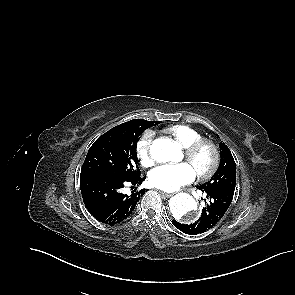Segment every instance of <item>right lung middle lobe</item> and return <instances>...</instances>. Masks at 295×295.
I'll use <instances>...</instances> for the list:
<instances>
[{
	"instance_id": "right-lung-middle-lobe-1",
	"label": "right lung middle lobe",
	"mask_w": 295,
	"mask_h": 295,
	"mask_svg": "<svg viewBox=\"0 0 295 295\" xmlns=\"http://www.w3.org/2000/svg\"><path fill=\"white\" fill-rule=\"evenodd\" d=\"M158 121L136 119L134 122L116 126L100 136L90 147L81 168L80 177L109 175L133 177L140 174L136 153L138 137Z\"/></svg>"
}]
</instances>
